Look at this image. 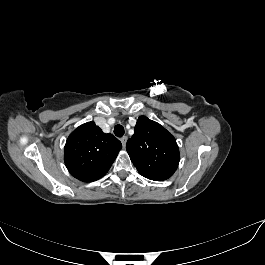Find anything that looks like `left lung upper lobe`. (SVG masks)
<instances>
[{
  "label": "left lung upper lobe",
  "mask_w": 265,
  "mask_h": 265,
  "mask_svg": "<svg viewBox=\"0 0 265 265\" xmlns=\"http://www.w3.org/2000/svg\"><path fill=\"white\" fill-rule=\"evenodd\" d=\"M134 131L126 149L138 172L155 181L170 178L180 161L179 148L173 135L145 116L138 118Z\"/></svg>",
  "instance_id": "5c2ea615"
}]
</instances>
